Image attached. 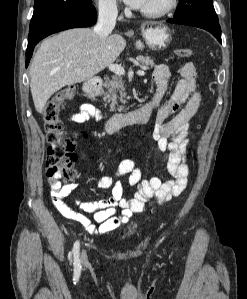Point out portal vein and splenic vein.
I'll return each mask as SVG.
<instances>
[{"mask_svg": "<svg viewBox=\"0 0 247 299\" xmlns=\"http://www.w3.org/2000/svg\"><path fill=\"white\" fill-rule=\"evenodd\" d=\"M109 70L114 72L115 74H118V75H124L125 74L124 68L121 65H118V64H110L109 65ZM137 74L141 75V76H144L145 72L143 70H139V71H137Z\"/></svg>", "mask_w": 247, "mask_h": 299, "instance_id": "portal-vein-and-splenic-vein-1", "label": "portal vein and splenic vein"}]
</instances>
